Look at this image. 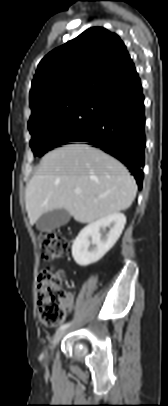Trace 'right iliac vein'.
<instances>
[{"mask_svg":"<svg viewBox=\"0 0 168 406\" xmlns=\"http://www.w3.org/2000/svg\"><path fill=\"white\" fill-rule=\"evenodd\" d=\"M65 333H66V330H58L55 333L53 340H52L51 351H53V349L59 343V341L61 340V338L64 336Z\"/></svg>","mask_w":168,"mask_h":406,"instance_id":"63e3f726","label":"right iliac vein"}]
</instances>
